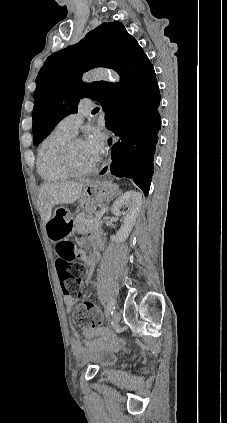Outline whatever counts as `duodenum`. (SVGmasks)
Segmentation results:
<instances>
[{
	"instance_id": "obj_1",
	"label": "duodenum",
	"mask_w": 227,
	"mask_h": 423,
	"mask_svg": "<svg viewBox=\"0 0 227 423\" xmlns=\"http://www.w3.org/2000/svg\"><path fill=\"white\" fill-rule=\"evenodd\" d=\"M102 247L101 246H96V254L100 253Z\"/></svg>"
}]
</instances>
